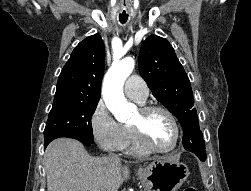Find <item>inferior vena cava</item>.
<instances>
[{"instance_id":"1","label":"inferior vena cava","mask_w":251,"mask_h":191,"mask_svg":"<svg viewBox=\"0 0 251 191\" xmlns=\"http://www.w3.org/2000/svg\"><path fill=\"white\" fill-rule=\"evenodd\" d=\"M108 159H113V161H119L120 157H118V155H115V153H109Z\"/></svg>"}]
</instances>
